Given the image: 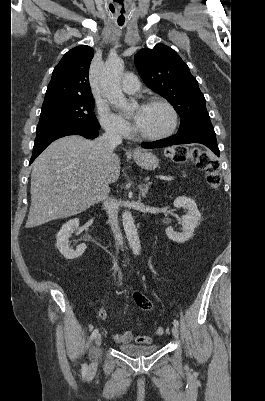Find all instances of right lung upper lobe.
<instances>
[{
	"label": "right lung upper lobe",
	"instance_id": "obj_1",
	"mask_svg": "<svg viewBox=\"0 0 265 401\" xmlns=\"http://www.w3.org/2000/svg\"><path fill=\"white\" fill-rule=\"evenodd\" d=\"M93 49L86 45L68 51L52 73L43 105L78 97H92L88 79Z\"/></svg>",
	"mask_w": 265,
	"mask_h": 401
}]
</instances>
